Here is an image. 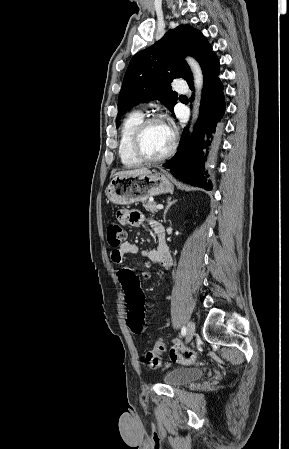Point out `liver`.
I'll list each match as a JSON object with an SVG mask.
<instances>
[{
  "label": "liver",
  "instance_id": "liver-1",
  "mask_svg": "<svg viewBox=\"0 0 289 449\" xmlns=\"http://www.w3.org/2000/svg\"><path fill=\"white\" fill-rule=\"evenodd\" d=\"M151 174V171L147 168H138L133 170H126L116 173V176H136V175H147Z\"/></svg>",
  "mask_w": 289,
  "mask_h": 449
}]
</instances>
